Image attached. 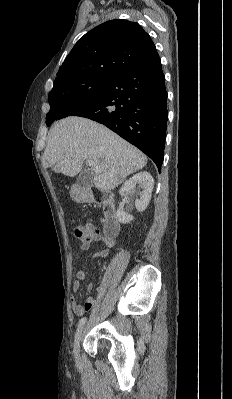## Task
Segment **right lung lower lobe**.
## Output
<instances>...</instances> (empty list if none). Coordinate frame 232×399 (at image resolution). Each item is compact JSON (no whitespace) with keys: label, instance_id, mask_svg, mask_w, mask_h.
Instances as JSON below:
<instances>
[{"label":"right lung lower lobe","instance_id":"1","mask_svg":"<svg viewBox=\"0 0 232 399\" xmlns=\"http://www.w3.org/2000/svg\"><path fill=\"white\" fill-rule=\"evenodd\" d=\"M109 79L96 97L70 105L56 120L80 116L104 124L149 156L160 172L168 111L165 76L157 51Z\"/></svg>","mask_w":232,"mask_h":399}]
</instances>
